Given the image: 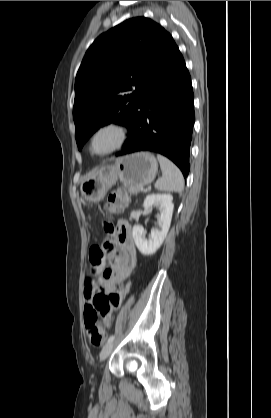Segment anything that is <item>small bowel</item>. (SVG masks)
I'll return each instance as SVG.
<instances>
[{
    "instance_id": "1",
    "label": "small bowel",
    "mask_w": 271,
    "mask_h": 418,
    "mask_svg": "<svg viewBox=\"0 0 271 418\" xmlns=\"http://www.w3.org/2000/svg\"><path fill=\"white\" fill-rule=\"evenodd\" d=\"M117 226V243L112 252L108 254V259L113 264L109 276L102 278L98 287L93 282H87L84 289L85 311L93 307L94 298L98 292L109 298V306L102 313V316L107 320L120 307L123 298L129 291V283H126L122 289H118V284L127 281L137 261L131 226L123 220L118 221Z\"/></svg>"
}]
</instances>
